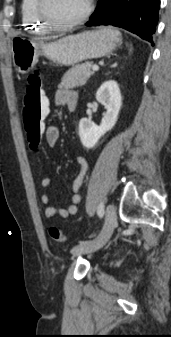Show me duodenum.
Listing matches in <instances>:
<instances>
[{"label":"duodenum","instance_id":"410a0bca","mask_svg":"<svg viewBox=\"0 0 171 337\" xmlns=\"http://www.w3.org/2000/svg\"><path fill=\"white\" fill-rule=\"evenodd\" d=\"M70 109H71V110H74V107H71Z\"/></svg>","mask_w":171,"mask_h":337}]
</instances>
